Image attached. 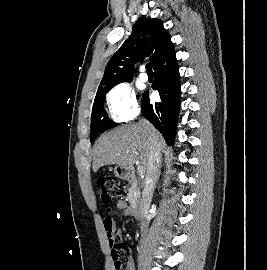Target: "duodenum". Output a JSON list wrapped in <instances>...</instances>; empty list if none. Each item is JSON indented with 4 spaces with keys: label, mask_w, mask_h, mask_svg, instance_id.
I'll return each mask as SVG.
<instances>
[{
    "label": "duodenum",
    "mask_w": 267,
    "mask_h": 270,
    "mask_svg": "<svg viewBox=\"0 0 267 270\" xmlns=\"http://www.w3.org/2000/svg\"><path fill=\"white\" fill-rule=\"evenodd\" d=\"M128 175L130 177L133 176V173L131 171L128 172ZM135 214L137 218L141 221H144L148 217V211L144 209V207L141 204H137L135 207Z\"/></svg>",
    "instance_id": "obj_1"
}]
</instances>
